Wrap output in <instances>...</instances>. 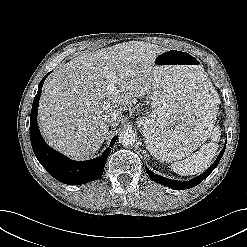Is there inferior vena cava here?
<instances>
[{
    "label": "inferior vena cava",
    "instance_id": "obj_1",
    "mask_svg": "<svg viewBox=\"0 0 247 247\" xmlns=\"http://www.w3.org/2000/svg\"><path fill=\"white\" fill-rule=\"evenodd\" d=\"M121 121V116L119 114L113 113L107 118V123L110 126H116Z\"/></svg>",
    "mask_w": 247,
    "mask_h": 247
}]
</instances>
